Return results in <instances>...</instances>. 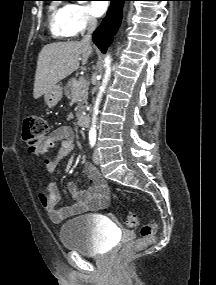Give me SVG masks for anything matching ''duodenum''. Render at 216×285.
<instances>
[{
  "instance_id": "1",
  "label": "duodenum",
  "mask_w": 216,
  "mask_h": 285,
  "mask_svg": "<svg viewBox=\"0 0 216 285\" xmlns=\"http://www.w3.org/2000/svg\"><path fill=\"white\" fill-rule=\"evenodd\" d=\"M78 124H79V126H81V127H87L88 124H89V118H88V116L85 115V114L79 115V117H78Z\"/></svg>"
}]
</instances>
